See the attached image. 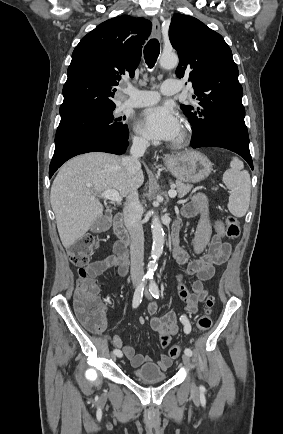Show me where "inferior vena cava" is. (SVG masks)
Wrapping results in <instances>:
<instances>
[{
    "instance_id": "1",
    "label": "inferior vena cava",
    "mask_w": 283,
    "mask_h": 434,
    "mask_svg": "<svg viewBox=\"0 0 283 434\" xmlns=\"http://www.w3.org/2000/svg\"><path fill=\"white\" fill-rule=\"evenodd\" d=\"M149 143L145 139L135 138L130 149V156L122 159L127 175L132 177L141 169L140 157H142ZM125 225L131 237L130 255H131V279L133 282H139L143 276L144 266V233L141 223L142 208L139 203L138 191L133 189L126 198L123 209Z\"/></svg>"
}]
</instances>
